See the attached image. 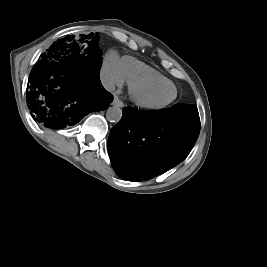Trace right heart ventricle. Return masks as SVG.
<instances>
[{
  "mask_svg": "<svg viewBox=\"0 0 267 267\" xmlns=\"http://www.w3.org/2000/svg\"><path fill=\"white\" fill-rule=\"evenodd\" d=\"M121 67L124 79L129 85L147 80L169 81L153 68L131 57L122 58Z\"/></svg>",
  "mask_w": 267,
  "mask_h": 267,
  "instance_id": "1",
  "label": "right heart ventricle"
}]
</instances>
